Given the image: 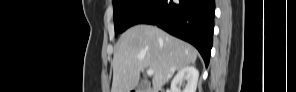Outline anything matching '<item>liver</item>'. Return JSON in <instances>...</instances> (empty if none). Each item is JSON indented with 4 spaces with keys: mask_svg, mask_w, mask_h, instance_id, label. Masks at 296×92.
Segmentation results:
<instances>
[{
    "mask_svg": "<svg viewBox=\"0 0 296 92\" xmlns=\"http://www.w3.org/2000/svg\"><path fill=\"white\" fill-rule=\"evenodd\" d=\"M197 54L192 45L158 27L133 26L117 42L111 92H131L145 68L154 70L153 90L159 92L175 71L195 63Z\"/></svg>",
    "mask_w": 296,
    "mask_h": 92,
    "instance_id": "1",
    "label": "liver"
}]
</instances>
